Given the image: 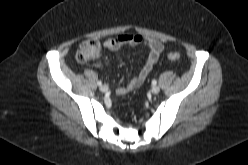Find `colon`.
<instances>
[{
	"label": "colon",
	"instance_id": "1",
	"mask_svg": "<svg viewBox=\"0 0 248 165\" xmlns=\"http://www.w3.org/2000/svg\"><path fill=\"white\" fill-rule=\"evenodd\" d=\"M100 52V44L96 40L83 41L76 53V60L80 63H87L97 59ZM168 58L172 61L180 59L178 52H171L168 54Z\"/></svg>",
	"mask_w": 248,
	"mask_h": 165
}]
</instances>
